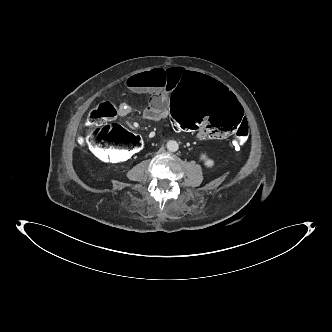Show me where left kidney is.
Segmentation results:
<instances>
[{"instance_id":"1","label":"left kidney","mask_w":332,"mask_h":332,"mask_svg":"<svg viewBox=\"0 0 332 332\" xmlns=\"http://www.w3.org/2000/svg\"><path fill=\"white\" fill-rule=\"evenodd\" d=\"M200 159L204 162L207 168H212L215 165V161L207 156V154L202 153Z\"/></svg>"}]
</instances>
